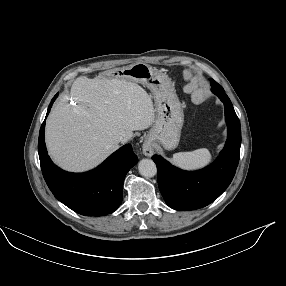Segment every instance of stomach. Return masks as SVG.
I'll return each instance as SVG.
<instances>
[{"label":"stomach","instance_id":"stomach-1","mask_svg":"<svg viewBox=\"0 0 286 286\" xmlns=\"http://www.w3.org/2000/svg\"><path fill=\"white\" fill-rule=\"evenodd\" d=\"M111 75L118 79L140 83L152 92L156 114L145 144L161 145L166 150L176 148L180 140L184 114L169 77L142 62L114 70Z\"/></svg>","mask_w":286,"mask_h":286}]
</instances>
